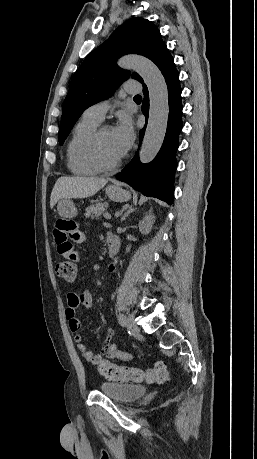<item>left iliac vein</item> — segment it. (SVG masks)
Returning <instances> with one entry per match:
<instances>
[{
    "label": "left iliac vein",
    "instance_id": "obj_1",
    "mask_svg": "<svg viewBox=\"0 0 257 459\" xmlns=\"http://www.w3.org/2000/svg\"><path fill=\"white\" fill-rule=\"evenodd\" d=\"M128 322H129V331L132 335L136 336L140 333V329L139 327L137 326L136 322H135V318L132 314H130L127 318Z\"/></svg>",
    "mask_w": 257,
    "mask_h": 459
}]
</instances>
